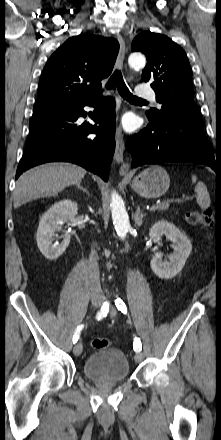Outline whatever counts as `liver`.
Listing matches in <instances>:
<instances>
[{"instance_id": "obj_1", "label": "liver", "mask_w": 221, "mask_h": 440, "mask_svg": "<svg viewBox=\"0 0 221 440\" xmlns=\"http://www.w3.org/2000/svg\"><path fill=\"white\" fill-rule=\"evenodd\" d=\"M86 170L70 163H50L23 173L16 182L14 207L32 200L56 196L67 186L79 184Z\"/></svg>"}]
</instances>
